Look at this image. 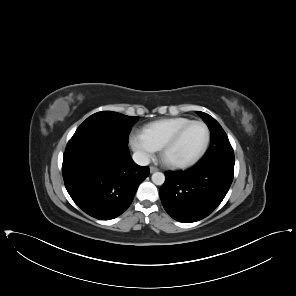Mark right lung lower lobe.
I'll return each mask as SVG.
<instances>
[{"label": "right lung lower lobe", "instance_id": "obj_1", "mask_svg": "<svg viewBox=\"0 0 296 296\" xmlns=\"http://www.w3.org/2000/svg\"><path fill=\"white\" fill-rule=\"evenodd\" d=\"M62 173L69 195L85 213L110 220L130 206L149 168L132 160L127 144L85 136L68 142Z\"/></svg>", "mask_w": 296, "mask_h": 296}]
</instances>
